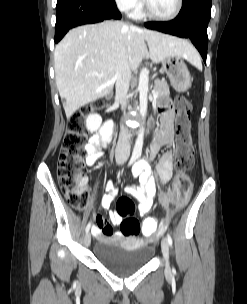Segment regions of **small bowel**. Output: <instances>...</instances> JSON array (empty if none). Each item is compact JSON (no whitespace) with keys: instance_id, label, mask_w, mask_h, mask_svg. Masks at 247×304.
<instances>
[{"instance_id":"c3829d8e","label":"small bowel","mask_w":247,"mask_h":304,"mask_svg":"<svg viewBox=\"0 0 247 304\" xmlns=\"http://www.w3.org/2000/svg\"><path fill=\"white\" fill-rule=\"evenodd\" d=\"M161 117V128L155 132L153 142L149 148L148 155L156 152L161 147L171 146L174 139L173 120L174 110L169 100H162L158 106ZM112 121H106L101 129L93 134L86 147V164L93 166L102 156V147L109 144L112 134ZM147 155V157H148ZM173 174V152L168 150L164 152L157 166V173L154 175L147 162V158L136 163L132 168V176L137 178L139 185H128L125 192L139 202V212L141 216L146 215L153 204L154 197L157 193V184H166ZM106 191L100 198V206L104 210H108L115 198L114 185L107 182L104 185ZM122 218L117 212H109V221L98 217L96 224L92 227V234L99 239L114 236L120 238L123 236L121 232L113 233L111 224L118 225Z\"/></svg>"}]
</instances>
